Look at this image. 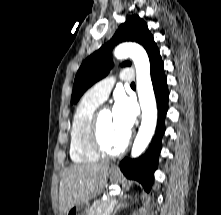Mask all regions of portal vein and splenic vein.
Segmentation results:
<instances>
[{"label":"portal vein and splenic vein","instance_id":"1","mask_svg":"<svg viewBox=\"0 0 221 215\" xmlns=\"http://www.w3.org/2000/svg\"><path fill=\"white\" fill-rule=\"evenodd\" d=\"M114 203H116V199H114Z\"/></svg>","mask_w":221,"mask_h":215}]
</instances>
